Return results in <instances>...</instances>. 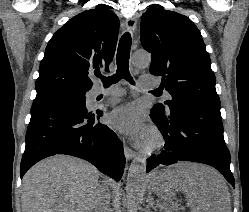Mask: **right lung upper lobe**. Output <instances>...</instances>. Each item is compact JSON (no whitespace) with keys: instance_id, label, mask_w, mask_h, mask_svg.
Returning a JSON list of instances; mask_svg holds the SVG:
<instances>
[{"instance_id":"right-lung-upper-lobe-1","label":"right lung upper lobe","mask_w":249,"mask_h":212,"mask_svg":"<svg viewBox=\"0 0 249 212\" xmlns=\"http://www.w3.org/2000/svg\"><path fill=\"white\" fill-rule=\"evenodd\" d=\"M119 19L106 7L84 11L52 36L40 63L37 96L57 91L87 92L94 69L108 70L118 39Z\"/></svg>"}]
</instances>
